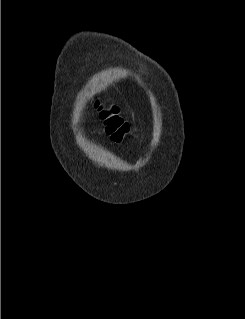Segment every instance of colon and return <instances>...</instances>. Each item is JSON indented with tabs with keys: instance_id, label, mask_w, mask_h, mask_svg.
<instances>
[{
	"instance_id": "colon-1",
	"label": "colon",
	"mask_w": 245,
	"mask_h": 319,
	"mask_svg": "<svg viewBox=\"0 0 245 319\" xmlns=\"http://www.w3.org/2000/svg\"><path fill=\"white\" fill-rule=\"evenodd\" d=\"M101 111V107L99 106ZM102 117L107 123V132L111 135L112 139L116 142L121 139L129 132V124L118 115V108L111 107L106 111H101Z\"/></svg>"
}]
</instances>
